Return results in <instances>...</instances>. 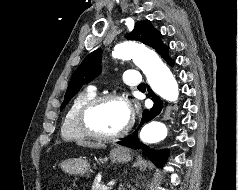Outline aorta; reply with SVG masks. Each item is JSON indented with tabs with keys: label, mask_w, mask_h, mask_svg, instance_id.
Instances as JSON below:
<instances>
[{
	"label": "aorta",
	"mask_w": 238,
	"mask_h": 190,
	"mask_svg": "<svg viewBox=\"0 0 238 190\" xmlns=\"http://www.w3.org/2000/svg\"><path fill=\"white\" fill-rule=\"evenodd\" d=\"M113 56L120 59H132L147 77L151 89L165 100L174 102L178 99V84L170 69L162 62L159 56L145 45L124 41L117 44ZM167 127L161 121H151L141 132L142 141L154 144L167 137Z\"/></svg>",
	"instance_id": "aorta-1"
}]
</instances>
